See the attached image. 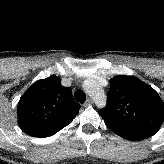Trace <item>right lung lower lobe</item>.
I'll return each instance as SVG.
<instances>
[{
	"mask_svg": "<svg viewBox=\"0 0 164 164\" xmlns=\"http://www.w3.org/2000/svg\"><path fill=\"white\" fill-rule=\"evenodd\" d=\"M69 123H71V122H69ZM69 123L64 124V125H62V126L56 128V129H54V130H52V131H50V132H47V133L41 134V135L38 136V137L40 138V137H48V136H52V135H54L55 133H57L59 130H61L62 128H64L65 126H67Z\"/></svg>",
	"mask_w": 164,
	"mask_h": 164,
	"instance_id": "right-lung-lower-lobe-1",
	"label": "right lung lower lobe"
}]
</instances>
